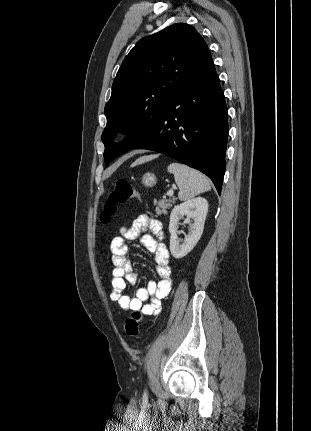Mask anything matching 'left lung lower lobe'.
Returning a JSON list of instances; mask_svg holds the SVG:
<instances>
[{"mask_svg":"<svg viewBox=\"0 0 311 431\" xmlns=\"http://www.w3.org/2000/svg\"><path fill=\"white\" fill-rule=\"evenodd\" d=\"M228 113L210 52L167 106L152 134L134 149L174 158L206 174L221 193Z\"/></svg>","mask_w":311,"mask_h":431,"instance_id":"left-lung-lower-lobe-1","label":"left lung lower lobe"}]
</instances>
